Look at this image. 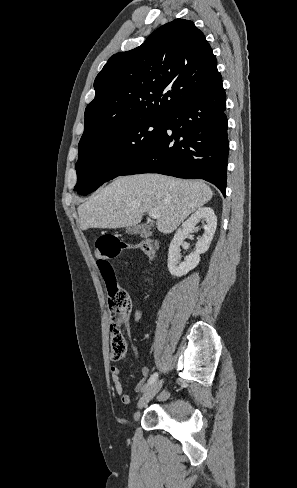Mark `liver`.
<instances>
[{
    "label": "liver",
    "mask_w": 297,
    "mask_h": 488,
    "mask_svg": "<svg viewBox=\"0 0 297 488\" xmlns=\"http://www.w3.org/2000/svg\"><path fill=\"white\" fill-rule=\"evenodd\" d=\"M212 195L201 181L160 174L118 177L78 207L79 224L82 230L129 227L137 225L145 212L156 209L160 213L158 230L169 234Z\"/></svg>",
    "instance_id": "liver-1"
}]
</instances>
